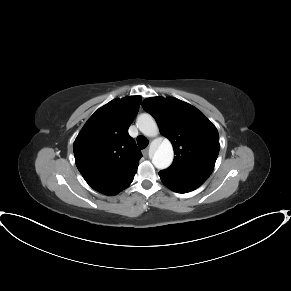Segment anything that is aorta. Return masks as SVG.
Masks as SVG:
<instances>
[{
  "label": "aorta",
  "mask_w": 291,
  "mask_h": 291,
  "mask_svg": "<svg viewBox=\"0 0 291 291\" xmlns=\"http://www.w3.org/2000/svg\"><path fill=\"white\" fill-rule=\"evenodd\" d=\"M137 128L145 136L156 137L159 134V128L154 118L147 113L138 116L136 121ZM174 157L173 147L168 139L162 140L152 156V163L157 169L168 168Z\"/></svg>",
  "instance_id": "aorta-1"
}]
</instances>
